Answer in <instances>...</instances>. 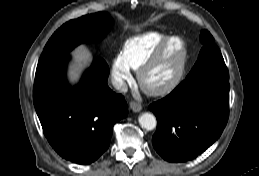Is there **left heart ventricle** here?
<instances>
[{
  "instance_id": "left-heart-ventricle-1",
  "label": "left heart ventricle",
  "mask_w": 259,
  "mask_h": 176,
  "mask_svg": "<svg viewBox=\"0 0 259 176\" xmlns=\"http://www.w3.org/2000/svg\"><path fill=\"white\" fill-rule=\"evenodd\" d=\"M179 42L169 43L161 60L152 68L147 75V82L156 86L168 81L174 74L179 56Z\"/></svg>"
}]
</instances>
